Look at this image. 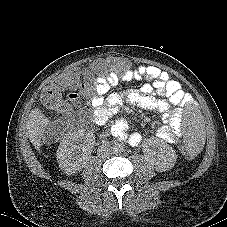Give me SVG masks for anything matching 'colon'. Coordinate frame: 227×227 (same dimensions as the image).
<instances>
[{
    "label": "colon",
    "instance_id": "colon-1",
    "mask_svg": "<svg viewBox=\"0 0 227 227\" xmlns=\"http://www.w3.org/2000/svg\"><path fill=\"white\" fill-rule=\"evenodd\" d=\"M91 67L96 72L107 71L108 69L123 70L125 68V61L123 59H110L109 61L97 60L92 64ZM79 81V73L76 70L54 79L45 85L40 93V100L42 104L45 107L59 113L70 115L72 113V108L67 100L63 97V92L66 89H71ZM70 126L71 124L68 120H59L52 124L48 134L50 137L58 138ZM179 152L183 158L190 162H193L196 159L195 154L188 150L186 145L181 146Z\"/></svg>",
    "mask_w": 227,
    "mask_h": 227
}]
</instances>
